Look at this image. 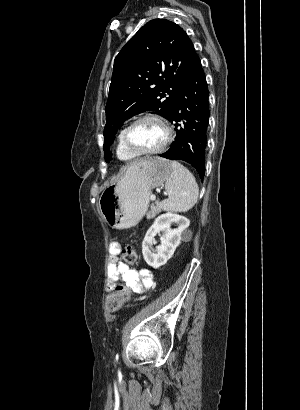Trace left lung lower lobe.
<instances>
[{"mask_svg":"<svg viewBox=\"0 0 300 410\" xmlns=\"http://www.w3.org/2000/svg\"><path fill=\"white\" fill-rule=\"evenodd\" d=\"M168 120L174 122L176 138L168 151L160 156L190 163L203 179L209 123V91L198 56L178 89Z\"/></svg>","mask_w":300,"mask_h":410,"instance_id":"obj_1","label":"left lung lower lobe"}]
</instances>
